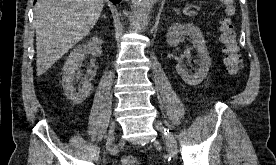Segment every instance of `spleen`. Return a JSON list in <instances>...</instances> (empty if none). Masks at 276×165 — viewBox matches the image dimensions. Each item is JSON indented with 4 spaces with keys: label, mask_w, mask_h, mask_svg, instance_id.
Returning <instances> with one entry per match:
<instances>
[{
    "label": "spleen",
    "mask_w": 276,
    "mask_h": 165,
    "mask_svg": "<svg viewBox=\"0 0 276 165\" xmlns=\"http://www.w3.org/2000/svg\"><path fill=\"white\" fill-rule=\"evenodd\" d=\"M225 5H227L225 12L228 15H234L235 14V7L233 6V0H220Z\"/></svg>",
    "instance_id": "1"
}]
</instances>
